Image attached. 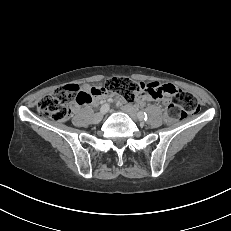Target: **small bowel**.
<instances>
[{
	"label": "small bowel",
	"mask_w": 231,
	"mask_h": 231,
	"mask_svg": "<svg viewBox=\"0 0 231 231\" xmlns=\"http://www.w3.org/2000/svg\"><path fill=\"white\" fill-rule=\"evenodd\" d=\"M155 83V82H153ZM153 83H149L153 84ZM176 87L172 84H160L159 86L155 89V88H151V87H147L145 89V91H143L136 99V103L138 105H144L146 102L148 101H159L162 102L164 104L168 103L171 96L173 95V92L175 91ZM94 90V88L89 87L88 85H84L83 86V91L86 94L90 95V99L83 103V105H97L99 100L101 99H109L112 97L111 94L102 91L99 92L95 95H91V92ZM80 105V103H76L75 104V108H78Z\"/></svg>",
	"instance_id": "obj_1"
}]
</instances>
